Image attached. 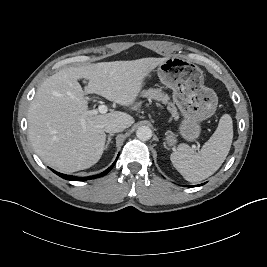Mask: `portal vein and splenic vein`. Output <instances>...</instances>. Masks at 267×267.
Instances as JSON below:
<instances>
[{"label": "portal vein and splenic vein", "instance_id": "1", "mask_svg": "<svg viewBox=\"0 0 267 267\" xmlns=\"http://www.w3.org/2000/svg\"><path fill=\"white\" fill-rule=\"evenodd\" d=\"M108 111V107L106 105H99L97 110H91L90 113L91 114H97V113H101V114H105Z\"/></svg>", "mask_w": 267, "mask_h": 267}]
</instances>
